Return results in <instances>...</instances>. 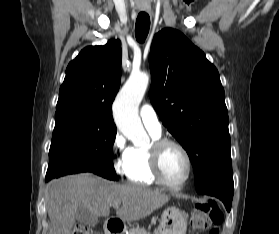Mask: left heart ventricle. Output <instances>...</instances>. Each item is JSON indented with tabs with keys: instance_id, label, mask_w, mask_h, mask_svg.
Returning a JSON list of instances; mask_svg holds the SVG:
<instances>
[{
	"instance_id": "1",
	"label": "left heart ventricle",
	"mask_w": 279,
	"mask_h": 234,
	"mask_svg": "<svg viewBox=\"0 0 279 234\" xmlns=\"http://www.w3.org/2000/svg\"><path fill=\"white\" fill-rule=\"evenodd\" d=\"M162 170L165 178L173 184L180 183L187 172L185 157L181 151L174 147L165 148L162 155Z\"/></svg>"
}]
</instances>
